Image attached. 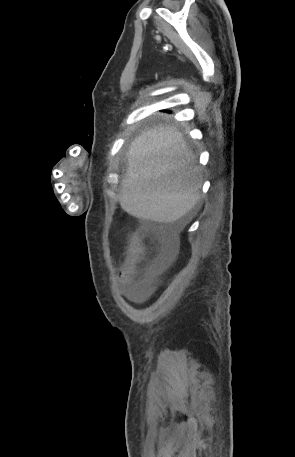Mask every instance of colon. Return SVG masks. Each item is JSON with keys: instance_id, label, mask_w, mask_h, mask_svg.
Returning a JSON list of instances; mask_svg holds the SVG:
<instances>
[{"instance_id": "1", "label": "colon", "mask_w": 295, "mask_h": 457, "mask_svg": "<svg viewBox=\"0 0 295 457\" xmlns=\"http://www.w3.org/2000/svg\"><path fill=\"white\" fill-rule=\"evenodd\" d=\"M145 246L138 236H133L131 239L128 257L125 263V270H131L143 257Z\"/></svg>"}]
</instances>
